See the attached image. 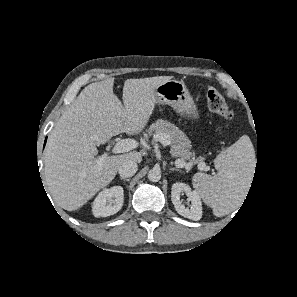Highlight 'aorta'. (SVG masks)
<instances>
[{
  "instance_id": "762f6f07",
  "label": "aorta",
  "mask_w": 297,
  "mask_h": 297,
  "mask_svg": "<svg viewBox=\"0 0 297 297\" xmlns=\"http://www.w3.org/2000/svg\"><path fill=\"white\" fill-rule=\"evenodd\" d=\"M148 179L151 182H158L161 179V171L156 168L151 169L148 173Z\"/></svg>"
}]
</instances>
